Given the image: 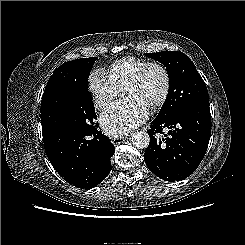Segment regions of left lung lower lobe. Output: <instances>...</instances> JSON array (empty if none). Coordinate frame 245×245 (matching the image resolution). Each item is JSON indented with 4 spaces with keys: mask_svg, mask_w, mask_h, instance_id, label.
<instances>
[{
    "mask_svg": "<svg viewBox=\"0 0 245 245\" xmlns=\"http://www.w3.org/2000/svg\"><path fill=\"white\" fill-rule=\"evenodd\" d=\"M168 128V134L162 130ZM156 133L164 134L157 138ZM211 134L209 102L194 103L168 120L154 119L144 153L148 169L165 181H180L190 176L202 161Z\"/></svg>",
    "mask_w": 245,
    "mask_h": 245,
    "instance_id": "obj_1",
    "label": "left lung lower lobe"
}]
</instances>
